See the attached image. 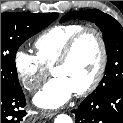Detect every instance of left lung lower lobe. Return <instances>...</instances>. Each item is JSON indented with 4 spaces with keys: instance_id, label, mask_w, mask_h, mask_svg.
I'll use <instances>...</instances> for the list:
<instances>
[{
    "instance_id": "1",
    "label": "left lung lower lobe",
    "mask_w": 123,
    "mask_h": 123,
    "mask_svg": "<svg viewBox=\"0 0 123 123\" xmlns=\"http://www.w3.org/2000/svg\"><path fill=\"white\" fill-rule=\"evenodd\" d=\"M72 112L76 123H123V87L93 91Z\"/></svg>"
}]
</instances>
